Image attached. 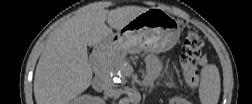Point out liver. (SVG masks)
Listing matches in <instances>:
<instances>
[{"label":"liver","instance_id":"liver-1","mask_svg":"<svg viewBox=\"0 0 252 104\" xmlns=\"http://www.w3.org/2000/svg\"><path fill=\"white\" fill-rule=\"evenodd\" d=\"M148 10L125 6L109 11L94 3L62 23L48 39L35 70L36 102L67 104L84 92L93 77L87 46H98L113 35L112 29L120 30Z\"/></svg>","mask_w":252,"mask_h":104}]
</instances>
